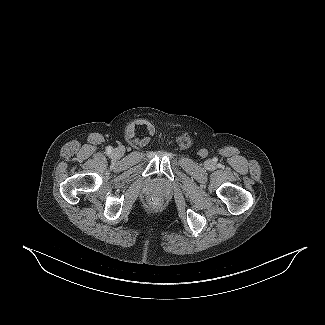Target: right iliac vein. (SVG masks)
I'll use <instances>...</instances> for the list:
<instances>
[{"mask_svg":"<svg viewBox=\"0 0 325 325\" xmlns=\"http://www.w3.org/2000/svg\"><path fill=\"white\" fill-rule=\"evenodd\" d=\"M112 156L114 158H120L122 156V151L121 149H114L113 152H112Z\"/></svg>","mask_w":325,"mask_h":325,"instance_id":"1","label":"right iliac vein"}]
</instances>
